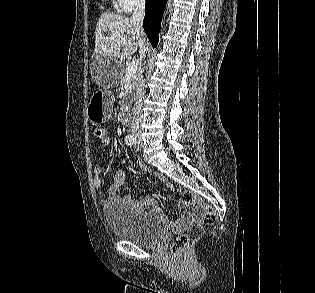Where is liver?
Instances as JSON below:
<instances>
[{"label":"liver","mask_w":315,"mask_h":293,"mask_svg":"<svg viewBox=\"0 0 315 293\" xmlns=\"http://www.w3.org/2000/svg\"><path fill=\"white\" fill-rule=\"evenodd\" d=\"M107 31L110 35H106ZM138 40L139 35L131 19L104 12L101 14L95 30L94 55L123 61L136 52L139 46Z\"/></svg>","instance_id":"liver-1"}]
</instances>
